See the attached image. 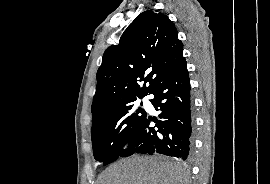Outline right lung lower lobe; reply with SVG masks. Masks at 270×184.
Here are the masks:
<instances>
[{"label": "right lung lower lobe", "instance_id": "obj_1", "mask_svg": "<svg viewBox=\"0 0 270 184\" xmlns=\"http://www.w3.org/2000/svg\"><path fill=\"white\" fill-rule=\"evenodd\" d=\"M154 99L150 100L160 118L151 127L152 119L146 117L129 147L123 150L120 157L134 153H160L186 160L192 150V118L190 82L187 65L183 59L166 77L160 80L149 92Z\"/></svg>", "mask_w": 270, "mask_h": 184}]
</instances>
